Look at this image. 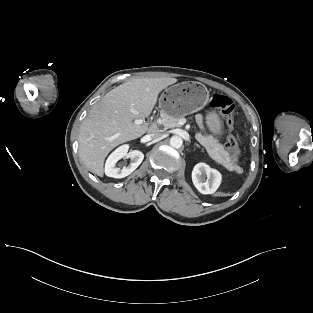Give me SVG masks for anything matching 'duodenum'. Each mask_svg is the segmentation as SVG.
I'll list each match as a JSON object with an SVG mask.
<instances>
[{"mask_svg": "<svg viewBox=\"0 0 313 313\" xmlns=\"http://www.w3.org/2000/svg\"><path fill=\"white\" fill-rule=\"evenodd\" d=\"M156 128H157V125H156L155 123H153V124L151 125V127H150V131H151V132H154V131L156 130Z\"/></svg>", "mask_w": 313, "mask_h": 313, "instance_id": "1", "label": "duodenum"}]
</instances>
